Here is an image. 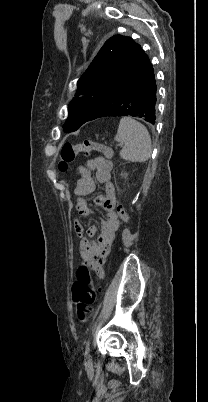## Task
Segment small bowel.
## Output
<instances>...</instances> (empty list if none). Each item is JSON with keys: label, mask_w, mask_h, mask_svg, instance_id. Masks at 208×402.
Returning <instances> with one entry per match:
<instances>
[{"label": "small bowel", "mask_w": 208, "mask_h": 402, "mask_svg": "<svg viewBox=\"0 0 208 402\" xmlns=\"http://www.w3.org/2000/svg\"><path fill=\"white\" fill-rule=\"evenodd\" d=\"M112 169V161L101 156L90 158L76 167V174L79 177L75 188L76 209L80 215L88 217L92 213L85 196L94 192L96 182L105 185V195L98 199L105 215L101 218V230L97 238L94 241L87 239L82 224L78 220L73 223L78 238L79 252L83 259L96 271L98 278L103 277L104 259L120 226L117 214L114 211L115 192L111 182ZM92 171H95V179L91 175ZM88 231L90 235L97 234V228L94 225H91Z\"/></svg>", "instance_id": "c3829d8e"}]
</instances>
